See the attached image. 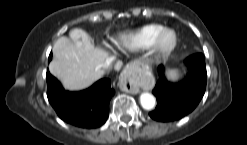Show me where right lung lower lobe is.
<instances>
[{"instance_id":"1","label":"right lung lower lobe","mask_w":247,"mask_h":145,"mask_svg":"<svg viewBox=\"0 0 247 145\" xmlns=\"http://www.w3.org/2000/svg\"><path fill=\"white\" fill-rule=\"evenodd\" d=\"M51 58L52 54L49 61ZM46 80L48 100L62 120L82 128H96L105 123L109 114V101L115 93L109 79H101L80 92L65 91L49 71Z\"/></svg>"}]
</instances>
